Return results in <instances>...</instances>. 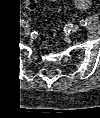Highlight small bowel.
Returning a JSON list of instances; mask_svg holds the SVG:
<instances>
[{
    "mask_svg": "<svg viewBox=\"0 0 100 118\" xmlns=\"http://www.w3.org/2000/svg\"><path fill=\"white\" fill-rule=\"evenodd\" d=\"M76 8L85 10L90 6L91 0H73Z\"/></svg>",
    "mask_w": 100,
    "mask_h": 118,
    "instance_id": "obj_1",
    "label": "small bowel"
}]
</instances>
